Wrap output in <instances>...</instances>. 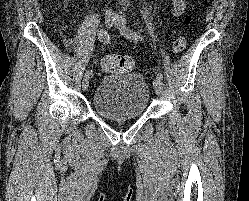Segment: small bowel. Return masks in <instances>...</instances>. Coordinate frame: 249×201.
I'll return each instance as SVG.
<instances>
[{
	"label": "small bowel",
	"instance_id": "1",
	"mask_svg": "<svg viewBox=\"0 0 249 201\" xmlns=\"http://www.w3.org/2000/svg\"><path fill=\"white\" fill-rule=\"evenodd\" d=\"M184 9H185V0H173L172 1V13L175 16L181 15L183 13ZM64 42L67 45L70 44L69 38H65Z\"/></svg>",
	"mask_w": 249,
	"mask_h": 201
}]
</instances>
